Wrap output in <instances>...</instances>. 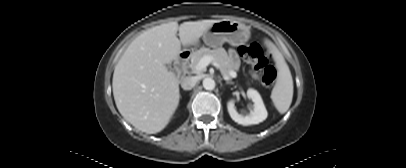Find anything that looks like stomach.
<instances>
[{"label":"stomach","mask_w":406,"mask_h":168,"mask_svg":"<svg viewBox=\"0 0 406 168\" xmlns=\"http://www.w3.org/2000/svg\"><path fill=\"white\" fill-rule=\"evenodd\" d=\"M250 38V29L243 23L233 20H220L214 23L204 34L206 45L216 48L227 42L232 46H240ZM193 45L197 46L198 41Z\"/></svg>","instance_id":"obj_1"}]
</instances>
